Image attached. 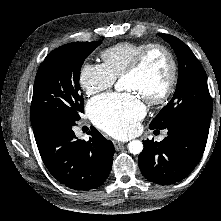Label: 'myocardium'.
I'll return each instance as SVG.
<instances>
[{
  "label": "myocardium",
  "instance_id": "1",
  "mask_svg": "<svg viewBox=\"0 0 221 221\" xmlns=\"http://www.w3.org/2000/svg\"><path fill=\"white\" fill-rule=\"evenodd\" d=\"M161 51L168 61L169 72L162 92L153 97H144L150 105H159L167 101L172 95L177 80V63L173 53L161 43L146 44L135 56L132 64L125 70L123 77L139 73L144 67L148 56L153 51Z\"/></svg>",
  "mask_w": 221,
  "mask_h": 221
}]
</instances>
